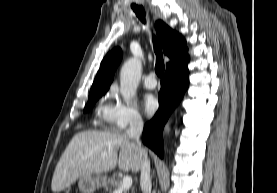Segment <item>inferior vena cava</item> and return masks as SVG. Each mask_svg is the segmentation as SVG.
<instances>
[{
	"mask_svg": "<svg viewBox=\"0 0 277 193\" xmlns=\"http://www.w3.org/2000/svg\"><path fill=\"white\" fill-rule=\"evenodd\" d=\"M143 130V120L141 116L134 115L130 119L129 128L127 129L126 133L127 136L134 140L137 144V147L139 148L141 152V175H140V187L142 190V193H151V178H150V162L147 156L146 151L142 148L141 142L139 140L140 135Z\"/></svg>",
	"mask_w": 277,
	"mask_h": 193,
	"instance_id": "obj_1",
	"label": "inferior vena cava"
}]
</instances>
